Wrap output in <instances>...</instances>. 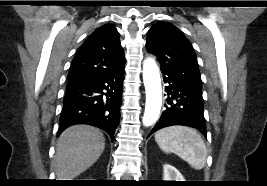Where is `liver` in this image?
I'll list each match as a JSON object with an SVG mask.
<instances>
[{
  "instance_id": "obj_1",
  "label": "liver",
  "mask_w": 267,
  "mask_h": 186,
  "mask_svg": "<svg viewBox=\"0 0 267 186\" xmlns=\"http://www.w3.org/2000/svg\"><path fill=\"white\" fill-rule=\"evenodd\" d=\"M105 138L99 129L74 125L64 130L56 144L54 168L57 180H72L101 156Z\"/></svg>"
}]
</instances>
